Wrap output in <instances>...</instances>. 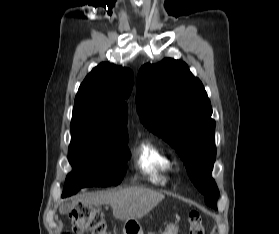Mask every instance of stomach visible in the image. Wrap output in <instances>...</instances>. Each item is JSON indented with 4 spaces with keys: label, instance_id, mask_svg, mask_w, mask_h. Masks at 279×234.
Wrapping results in <instances>:
<instances>
[{
    "label": "stomach",
    "instance_id": "obj_1",
    "mask_svg": "<svg viewBox=\"0 0 279 234\" xmlns=\"http://www.w3.org/2000/svg\"><path fill=\"white\" fill-rule=\"evenodd\" d=\"M143 234L142 227L137 220H127L123 226V234ZM162 234H177V226L174 224L167 225Z\"/></svg>",
    "mask_w": 279,
    "mask_h": 234
}]
</instances>
